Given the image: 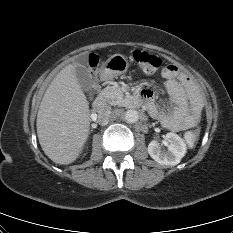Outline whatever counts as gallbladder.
<instances>
[{
    "mask_svg": "<svg viewBox=\"0 0 233 233\" xmlns=\"http://www.w3.org/2000/svg\"><path fill=\"white\" fill-rule=\"evenodd\" d=\"M76 66V77L80 87L91 94L93 87V79L91 76L90 69L87 67L88 56L81 54L75 59Z\"/></svg>",
    "mask_w": 233,
    "mask_h": 233,
    "instance_id": "1",
    "label": "gallbladder"
}]
</instances>
